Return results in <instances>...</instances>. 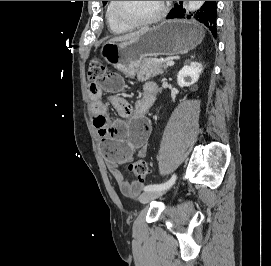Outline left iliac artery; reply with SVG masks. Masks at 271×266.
<instances>
[{
	"mask_svg": "<svg viewBox=\"0 0 271 266\" xmlns=\"http://www.w3.org/2000/svg\"><path fill=\"white\" fill-rule=\"evenodd\" d=\"M176 181V175L174 174L167 182L162 184H150L144 187V191L164 190L171 187Z\"/></svg>",
	"mask_w": 271,
	"mask_h": 266,
	"instance_id": "44dca946",
	"label": "left iliac artery"
}]
</instances>
